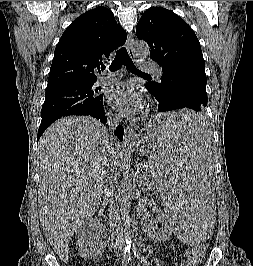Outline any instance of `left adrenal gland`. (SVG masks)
Here are the masks:
<instances>
[{"mask_svg": "<svg viewBox=\"0 0 253 266\" xmlns=\"http://www.w3.org/2000/svg\"><path fill=\"white\" fill-rule=\"evenodd\" d=\"M139 188L143 189V182H142V177L139 178Z\"/></svg>", "mask_w": 253, "mask_h": 266, "instance_id": "a2214340", "label": "left adrenal gland"}]
</instances>
